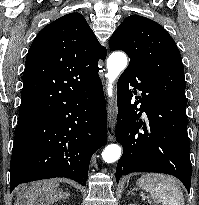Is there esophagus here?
I'll return each mask as SVG.
<instances>
[{"instance_id":"1","label":"esophagus","mask_w":199,"mask_h":205,"mask_svg":"<svg viewBox=\"0 0 199 205\" xmlns=\"http://www.w3.org/2000/svg\"><path fill=\"white\" fill-rule=\"evenodd\" d=\"M107 121H108L107 138L108 141L112 142L115 140V125H116V111L113 102H110L108 106Z\"/></svg>"}]
</instances>
